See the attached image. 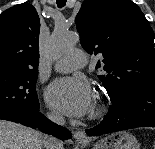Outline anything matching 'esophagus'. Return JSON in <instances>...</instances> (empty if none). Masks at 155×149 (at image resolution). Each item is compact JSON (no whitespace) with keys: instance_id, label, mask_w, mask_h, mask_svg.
Here are the masks:
<instances>
[{"instance_id":"1","label":"esophagus","mask_w":155,"mask_h":149,"mask_svg":"<svg viewBox=\"0 0 155 149\" xmlns=\"http://www.w3.org/2000/svg\"><path fill=\"white\" fill-rule=\"evenodd\" d=\"M73 137H74L75 141H77V142H87L88 141L86 134L81 130L75 131L73 133Z\"/></svg>"}]
</instances>
